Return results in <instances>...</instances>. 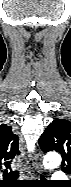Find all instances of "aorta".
<instances>
[{"label":"aorta","instance_id":"aorta-1","mask_svg":"<svg viewBox=\"0 0 71 187\" xmlns=\"http://www.w3.org/2000/svg\"><path fill=\"white\" fill-rule=\"evenodd\" d=\"M43 163L46 168H55L61 164V157L56 152H50L44 157Z\"/></svg>","mask_w":71,"mask_h":187}]
</instances>
